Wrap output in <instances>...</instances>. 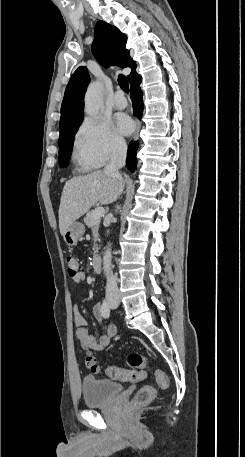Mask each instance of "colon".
Segmentation results:
<instances>
[{
    "label": "colon",
    "mask_w": 245,
    "mask_h": 457,
    "mask_svg": "<svg viewBox=\"0 0 245 457\" xmlns=\"http://www.w3.org/2000/svg\"><path fill=\"white\" fill-rule=\"evenodd\" d=\"M68 273L70 277H74L78 273V262L74 256H68L66 258ZM129 364L133 367L131 370H125L117 368L115 366H109L107 368V374L118 380L138 382L146 378V368L150 365L149 360L137 353H132L128 357ZM84 365L92 373L99 372V366L97 360L92 353H87L84 356ZM155 377L160 387H166L168 379L165 373L160 370H155ZM155 397V388L150 385L141 387L136 395L130 402L132 409H138L150 403Z\"/></svg>",
    "instance_id": "5ec220e1"
}]
</instances>
